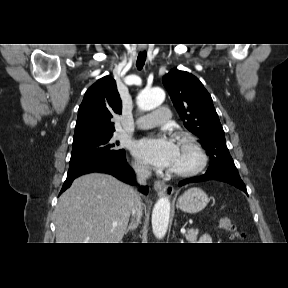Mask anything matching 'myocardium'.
I'll use <instances>...</instances> for the list:
<instances>
[{"mask_svg":"<svg viewBox=\"0 0 288 288\" xmlns=\"http://www.w3.org/2000/svg\"><path fill=\"white\" fill-rule=\"evenodd\" d=\"M175 136L178 142L190 149L195 161L193 165L186 168L170 169V173L173 175L186 177L195 175L202 171L207 163V155L197 139L188 132H178Z\"/></svg>","mask_w":288,"mask_h":288,"instance_id":"obj_1","label":"myocardium"}]
</instances>
